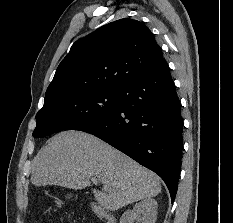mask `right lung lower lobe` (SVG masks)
I'll use <instances>...</instances> for the list:
<instances>
[{"label": "right lung lower lobe", "mask_w": 233, "mask_h": 223, "mask_svg": "<svg viewBox=\"0 0 233 223\" xmlns=\"http://www.w3.org/2000/svg\"><path fill=\"white\" fill-rule=\"evenodd\" d=\"M119 89L117 109L78 130L99 137L158 174L173 202L181 168L183 120L169 66Z\"/></svg>", "instance_id": "obj_1"}]
</instances>
